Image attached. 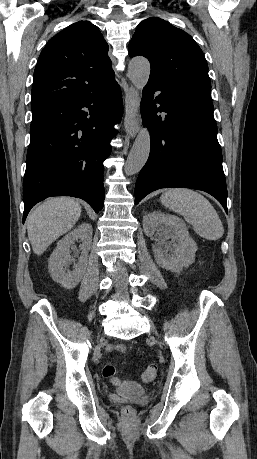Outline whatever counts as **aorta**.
<instances>
[{"instance_id": "762f6f07", "label": "aorta", "mask_w": 257, "mask_h": 459, "mask_svg": "<svg viewBox=\"0 0 257 459\" xmlns=\"http://www.w3.org/2000/svg\"><path fill=\"white\" fill-rule=\"evenodd\" d=\"M150 75V63L143 57L133 58L128 66V76L133 85L142 90ZM150 134L146 128H141L128 155L124 171L130 176L138 173L145 165L150 153Z\"/></svg>"}]
</instances>
